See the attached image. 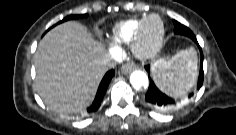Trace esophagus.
I'll return each instance as SVG.
<instances>
[{
	"label": "esophagus",
	"mask_w": 236,
	"mask_h": 135,
	"mask_svg": "<svg viewBox=\"0 0 236 135\" xmlns=\"http://www.w3.org/2000/svg\"><path fill=\"white\" fill-rule=\"evenodd\" d=\"M134 70V66H129V65H124L121 68V72L126 74V73H130Z\"/></svg>",
	"instance_id": "1"
}]
</instances>
